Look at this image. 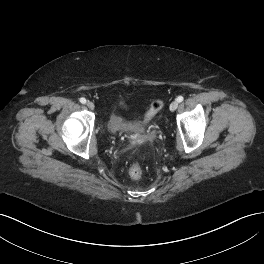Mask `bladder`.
I'll use <instances>...</instances> for the list:
<instances>
[{
    "instance_id": "obj_1",
    "label": "bladder",
    "mask_w": 264,
    "mask_h": 264,
    "mask_svg": "<svg viewBox=\"0 0 264 264\" xmlns=\"http://www.w3.org/2000/svg\"><path fill=\"white\" fill-rule=\"evenodd\" d=\"M107 127L112 133H125L130 132L134 129L131 122L123 119L115 111H113L108 118Z\"/></svg>"
}]
</instances>
